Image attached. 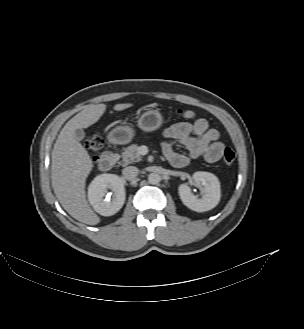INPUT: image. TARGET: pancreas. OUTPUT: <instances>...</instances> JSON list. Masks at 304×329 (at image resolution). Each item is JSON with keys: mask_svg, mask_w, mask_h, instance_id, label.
I'll use <instances>...</instances> for the list:
<instances>
[{"mask_svg": "<svg viewBox=\"0 0 304 329\" xmlns=\"http://www.w3.org/2000/svg\"><path fill=\"white\" fill-rule=\"evenodd\" d=\"M140 147L137 144H132L125 148L121 153V164L128 165L142 160L141 155L139 154Z\"/></svg>", "mask_w": 304, "mask_h": 329, "instance_id": "obj_1", "label": "pancreas"}]
</instances>
